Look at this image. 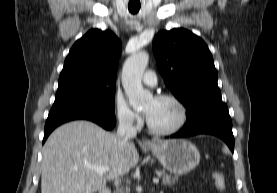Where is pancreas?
<instances>
[{"instance_id":"obj_1","label":"pancreas","mask_w":277,"mask_h":193,"mask_svg":"<svg viewBox=\"0 0 277 193\" xmlns=\"http://www.w3.org/2000/svg\"><path fill=\"white\" fill-rule=\"evenodd\" d=\"M158 175L162 178V183L164 185L171 186L173 183L177 181L176 176H171L167 174L164 170L160 171ZM114 193H128V190L124 188H118Z\"/></svg>"}]
</instances>
